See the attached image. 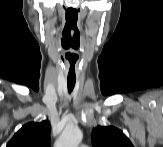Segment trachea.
I'll list each match as a JSON object with an SVG mask.
<instances>
[{
    "label": "trachea",
    "instance_id": "3493384b",
    "mask_svg": "<svg viewBox=\"0 0 163 147\" xmlns=\"http://www.w3.org/2000/svg\"><path fill=\"white\" fill-rule=\"evenodd\" d=\"M75 80H68L67 81V87H68V92L71 93L75 87Z\"/></svg>",
    "mask_w": 163,
    "mask_h": 147
}]
</instances>
